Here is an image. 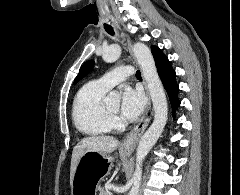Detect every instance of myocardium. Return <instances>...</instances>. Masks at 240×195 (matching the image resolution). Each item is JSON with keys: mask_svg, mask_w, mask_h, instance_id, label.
Returning <instances> with one entry per match:
<instances>
[{"mask_svg": "<svg viewBox=\"0 0 240 195\" xmlns=\"http://www.w3.org/2000/svg\"><path fill=\"white\" fill-rule=\"evenodd\" d=\"M105 110H106V112L109 116L111 126L117 128V127H120V126L123 125V121L119 117L118 113H115V112L111 111L106 103H105Z\"/></svg>", "mask_w": 240, "mask_h": 195, "instance_id": "obj_1", "label": "myocardium"}]
</instances>
